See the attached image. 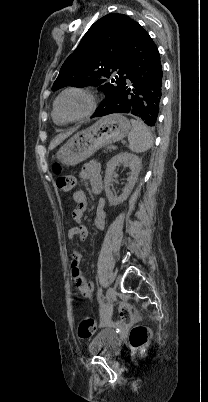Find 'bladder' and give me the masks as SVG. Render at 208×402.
Masks as SVG:
<instances>
[{"label": "bladder", "instance_id": "1", "mask_svg": "<svg viewBox=\"0 0 208 402\" xmlns=\"http://www.w3.org/2000/svg\"><path fill=\"white\" fill-rule=\"evenodd\" d=\"M121 347V339L112 329L100 330L89 344L90 353L102 355H114Z\"/></svg>", "mask_w": 208, "mask_h": 402}]
</instances>
